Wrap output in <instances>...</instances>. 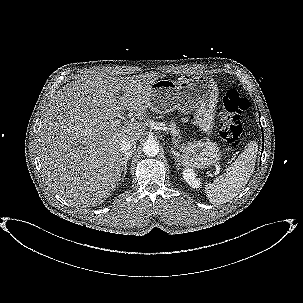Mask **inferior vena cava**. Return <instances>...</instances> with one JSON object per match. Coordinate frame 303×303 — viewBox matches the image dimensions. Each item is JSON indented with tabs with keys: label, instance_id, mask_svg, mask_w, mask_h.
Segmentation results:
<instances>
[{
	"label": "inferior vena cava",
	"instance_id": "inferior-vena-cava-1",
	"mask_svg": "<svg viewBox=\"0 0 303 303\" xmlns=\"http://www.w3.org/2000/svg\"><path fill=\"white\" fill-rule=\"evenodd\" d=\"M120 147L124 156L127 157L132 155V152L135 150L136 143L128 138H123L120 141Z\"/></svg>",
	"mask_w": 303,
	"mask_h": 303
}]
</instances>
